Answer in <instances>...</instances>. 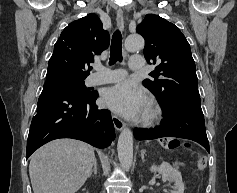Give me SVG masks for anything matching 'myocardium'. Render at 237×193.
Wrapping results in <instances>:
<instances>
[{
	"instance_id": "myocardium-1",
	"label": "myocardium",
	"mask_w": 237,
	"mask_h": 193,
	"mask_svg": "<svg viewBox=\"0 0 237 193\" xmlns=\"http://www.w3.org/2000/svg\"><path fill=\"white\" fill-rule=\"evenodd\" d=\"M161 114H162V112H161L160 107L155 102L152 101L149 104L148 111H147L146 115L144 116L143 121L146 124L153 123V122L160 119Z\"/></svg>"
}]
</instances>
